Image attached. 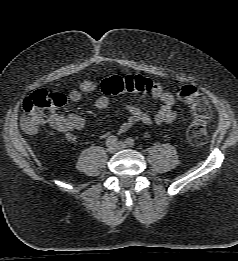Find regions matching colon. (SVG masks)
<instances>
[{"label":"colon","mask_w":238,"mask_h":261,"mask_svg":"<svg viewBox=\"0 0 238 261\" xmlns=\"http://www.w3.org/2000/svg\"><path fill=\"white\" fill-rule=\"evenodd\" d=\"M152 82L142 75L112 76L102 81L100 90L107 96L122 93L147 92ZM176 96L186 103L193 116L187 130V139L194 146L202 145L207 140L206 125L211 117V106L206 95L192 85L179 86ZM66 98L59 93L37 90L26 97L22 103L23 116L21 125L28 134H34L47 121L48 110L61 107Z\"/></svg>","instance_id":"1"}]
</instances>
